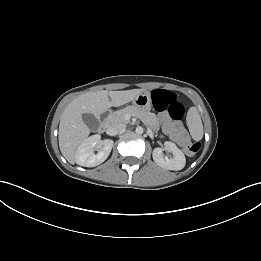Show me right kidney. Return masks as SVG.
<instances>
[{
  "label": "right kidney",
  "instance_id": "obj_1",
  "mask_svg": "<svg viewBox=\"0 0 261 261\" xmlns=\"http://www.w3.org/2000/svg\"><path fill=\"white\" fill-rule=\"evenodd\" d=\"M100 139V135H93L78 146L75 153V162L78 165L95 167L108 158L114 143L110 139L104 141ZM95 149L98 150L97 154H94Z\"/></svg>",
  "mask_w": 261,
  "mask_h": 261
}]
</instances>
